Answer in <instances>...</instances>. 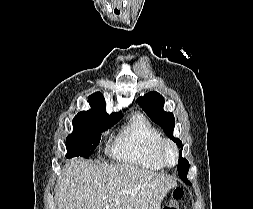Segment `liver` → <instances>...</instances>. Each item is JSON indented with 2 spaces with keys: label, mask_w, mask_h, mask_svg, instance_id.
Wrapping results in <instances>:
<instances>
[{
  "label": "liver",
  "mask_w": 253,
  "mask_h": 209,
  "mask_svg": "<svg viewBox=\"0 0 253 209\" xmlns=\"http://www.w3.org/2000/svg\"><path fill=\"white\" fill-rule=\"evenodd\" d=\"M176 179L138 166L75 158L62 168L55 188L58 209H161Z\"/></svg>",
  "instance_id": "6515ba94"
}]
</instances>
